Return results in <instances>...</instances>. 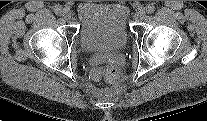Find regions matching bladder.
I'll return each instance as SVG.
<instances>
[{
    "mask_svg": "<svg viewBox=\"0 0 207 121\" xmlns=\"http://www.w3.org/2000/svg\"><path fill=\"white\" fill-rule=\"evenodd\" d=\"M76 15L80 43L85 51H117L126 45L130 11L125 3L82 2Z\"/></svg>",
    "mask_w": 207,
    "mask_h": 121,
    "instance_id": "1",
    "label": "bladder"
}]
</instances>
